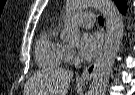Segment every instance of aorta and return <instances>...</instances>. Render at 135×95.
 <instances>
[{
  "label": "aorta",
  "instance_id": "1",
  "mask_svg": "<svg viewBox=\"0 0 135 95\" xmlns=\"http://www.w3.org/2000/svg\"><path fill=\"white\" fill-rule=\"evenodd\" d=\"M87 6L98 8L106 18V40L94 70L90 91V95H105L109 75L123 38V19L112 0H68L65 26L62 31V38L65 41L71 43L79 41L80 30L73 20V15Z\"/></svg>",
  "mask_w": 135,
  "mask_h": 95
}]
</instances>
